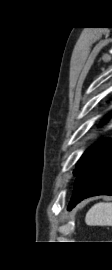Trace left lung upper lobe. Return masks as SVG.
<instances>
[{"label":"left lung upper lobe","mask_w":112,"mask_h":270,"mask_svg":"<svg viewBox=\"0 0 112 270\" xmlns=\"http://www.w3.org/2000/svg\"><path fill=\"white\" fill-rule=\"evenodd\" d=\"M112 149V144L108 140H102L99 143L89 148L78 161L76 168L73 172L74 176L78 177L86 169L100 160Z\"/></svg>","instance_id":"obj_1"}]
</instances>
